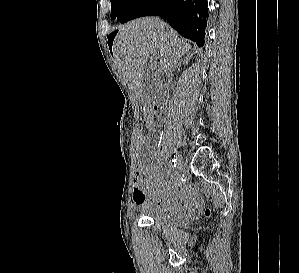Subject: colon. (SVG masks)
I'll return each instance as SVG.
<instances>
[{"label": "colon", "mask_w": 299, "mask_h": 273, "mask_svg": "<svg viewBox=\"0 0 299 273\" xmlns=\"http://www.w3.org/2000/svg\"><path fill=\"white\" fill-rule=\"evenodd\" d=\"M139 142L141 143V145L144 149H147L151 146V138L147 137L146 135L141 136L139 138ZM205 215L209 216L210 215V210H206Z\"/></svg>", "instance_id": "5ec220e1"}]
</instances>
